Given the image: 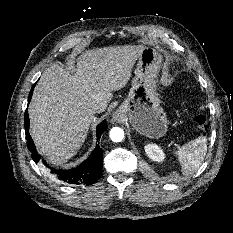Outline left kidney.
<instances>
[{
    "label": "left kidney",
    "mask_w": 233,
    "mask_h": 233,
    "mask_svg": "<svg viewBox=\"0 0 233 233\" xmlns=\"http://www.w3.org/2000/svg\"><path fill=\"white\" fill-rule=\"evenodd\" d=\"M147 156L153 161L162 162L165 158L163 150L156 144H148L145 146Z\"/></svg>",
    "instance_id": "1"
}]
</instances>
